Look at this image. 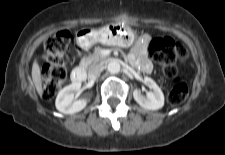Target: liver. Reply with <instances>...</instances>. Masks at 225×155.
Returning a JSON list of instances; mask_svg holds the SVG:
<instances>
[{
    "instance_id": "1",
    "label": "liver",
    "mask_w": 225,
    "mask_h": 155,
    "mask_svg": "<svg viewBox=\"0 0 225 155\" xmlns=\"http://www.w3.org/2000/svg\"><path fill=\"white\" fill-rule=\"evenodd\" d=\"M32 80L35 85V88L40 96L43 94L42 89V78H41V70L38 62L35 60L32 65Z\"/></svg>"
}]
</instances>
